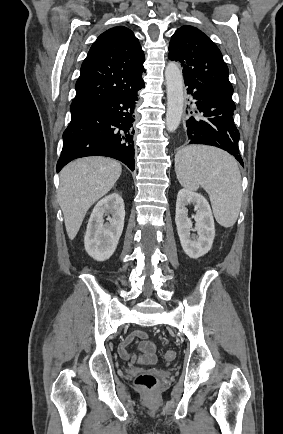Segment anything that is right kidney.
Here are the masks:
<instances>
[{"label": "right kidney", "mask_w": 283, "mask_h": 434, "mask_svg": "<svg viewBox=\"0 0 283 434\" xmlns=\"http://www.w3.org/2000/svg\"><path fill=\"white\" fill-rule=\"evenodd\" d=\"M106 215L107 222L104 223L103 217ZM124 218V202L119 194H109L96 204L84 237L85 250L89 256L97 261H105L113 255L123 231Z\"/></svg>", "instance_id": "1"}]
</instances>
